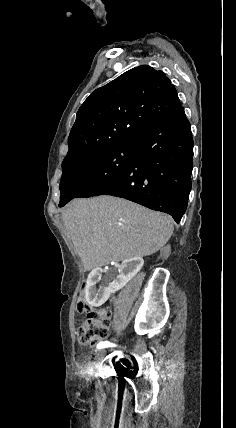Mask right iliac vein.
Segmentation results:
<instances>
[{"label": "right iliac vein", "mask_w": 236, "mask_h": 428, "mask_svg": "<svg viewBox=\"0 0 236 428\" xmlns=\"http://www.w3.org/2000/svg\"><path fill=\"white\" fill-rule=\"evenodd\" d=\"M106 353L104 351H98V356H104Z\"/></svg>", "instance_id": "right-iliac-vein-1"}]
</instances>
